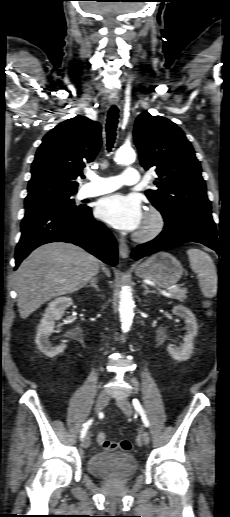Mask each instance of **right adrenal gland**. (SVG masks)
I'll return each mask as SVG.
<instances>
[{
	"instance_id": "1",
	"label": "right adrenal gland",
	"mask_w": 230,
	"mask_h": 517,
	"mask_svg": "<svg viewBox=\"0 0 230 517\" xmlns=\"http://www.w3.org/2000/svg\"><path fill=\"white\" fill-rule=\"evenodd\" d=\"M86 287H93V288H95V290H96V291H98V292H99V291H100V289H99V286H98V280H97V277H94V278L90 281V283H89L88 285H86Z\"/></svg>"
}]
</instances>
